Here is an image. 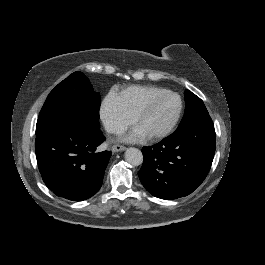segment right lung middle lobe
<instances>
[{"instance_id":"obj_1","label":"right lung middle lobe","mask_w":265,"mask_h":265,"mask_svg":"<svg viewBox=\"0 0 265 265\" xmlns=\"http://www.w3.org/2000/svg\"><path fill=\"white\" fill-rule=\"evenodd\" d=\"M101 98L81 72H74L48 95L38 117L36 131L57 118L84 121L99 127Z\"/></svg>"}]
</instances>
